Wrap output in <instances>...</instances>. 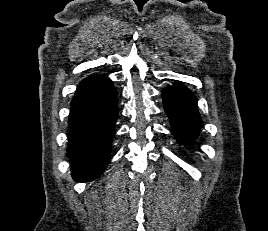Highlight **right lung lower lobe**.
Returning <instances> with one entry per match:
<instances>
[{
    "label": "right lung lower lobe",
    "mask_w": 268,
    "mask_h": 231,
    "mask_svg": "<svg viewBox=\"0 0 268 231\" xmlns=\"http://www.w3.org/2000/svg\"><path fill=\"white\" fill-rule=\"evenodd\" d=\"M117 92L112 81L94 74L83 79L71 101L67 153L77 182L93 181L109 161L117 121Z\"/></svg>",
    "instance_id": "obj_1"
}]
</instances>
